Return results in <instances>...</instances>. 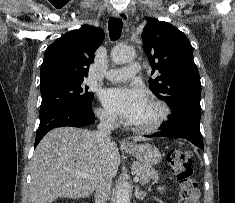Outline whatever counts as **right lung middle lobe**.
Wrapping results in <instances>:
<instances>
[{"mask_svg":"<svg viewBox=\"0 0 235 203\" xmlns=\"http://www.w3.org/2000/svg\"><path fill=\"white\" fill-rule=\"evenodd\" d=\"M83 80H63L40 85V113L60 105L92 106L93 93Z\"/></svg>","mask_w":235,"mask_h":203,"instance_id":"right-lung-middle-lobe-1","label":"right lung middle lobe"}]
</instances>
